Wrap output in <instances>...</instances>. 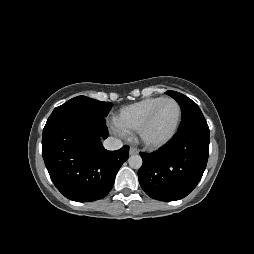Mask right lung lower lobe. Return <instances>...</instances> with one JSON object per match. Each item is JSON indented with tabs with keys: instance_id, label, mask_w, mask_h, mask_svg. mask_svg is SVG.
I'll use <instances>...</instances> for the list:
<instances>
[{
	"instance_id": "obj_1",
	"label": "right lung lower lobe",
	"mask_w": 254,
	"mask_h": 254,
	"mask_svg": "<svg viewBox=\"0 0 254 254\" xmlns=\"http://www.w3.org/2000/svg\"><path fill=\"white\" fill-rule=\"evenodd\" d=\"M104 117L74 110L52 112L43 129L42 154L56 188L68 199L89 202L104 198L128 159L129 147L106 150Z\"/></svg>"
}]
</instances>
